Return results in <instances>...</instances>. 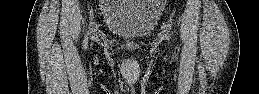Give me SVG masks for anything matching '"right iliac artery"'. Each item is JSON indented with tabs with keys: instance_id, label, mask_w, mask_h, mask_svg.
Listing matches in <instances>:
<instances>
[{
	"instance_id": "1",
	"label": "right iliac artery",
	"mask_w": 259,
	"mask_h": 94,
	"mask_svg": "<svg viewBox=\"0 0 259 94\" xmlns=\"http://www.w3.org/2000/svg\"><path fill=\"white\" fill-rule=\"evenodd\" d=\"M84 41H85V45H84V47H85V48H87V41H88L87 37L85 38V40H84Z\"/></svg>"
}]
</instances>
